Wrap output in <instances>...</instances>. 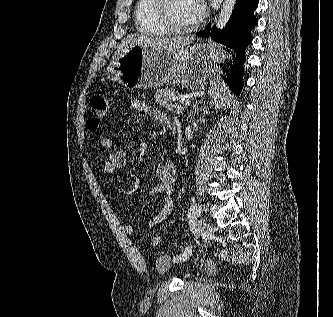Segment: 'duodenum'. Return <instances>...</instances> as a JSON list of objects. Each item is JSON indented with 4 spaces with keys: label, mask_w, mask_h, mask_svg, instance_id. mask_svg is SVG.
I'll use <instances>...</instances> for the list:
<instances>
[{
    "label": "duodenum",
    "mask_w": 333,
    "mask_h": 317,
    "mask_svg": "<svg viewBox=\"0 0 333 317\" xmlns=\"http://www.w3.org/2000/svg\"><path fill=\"white\" fill-rule=\"evenodd\" d=\"M168 127L173 133L176 132V126L172 121L168 123Z\"/></svg>",
    "instance_id": "410a0bca"
}]
</instances>
